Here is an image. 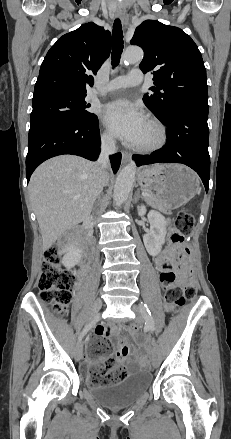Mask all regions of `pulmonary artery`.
I'll return each instance as SVG.
<instances>
[{
    "label": "pulmonary artery",
    "mask_w": 231,
    "mask_h": 439,
    "mask_svg": "<svg viewBox=\"0 0 231 439\" xmlns=\"http://www.w3.org/2000/svg\"><path fill=\"white\" fill-rule=\"evenodd\" d=\"M143 74L140 70H132L126 75L118 76L113 79L106 87L105 92H111L122 88L133 87L142 83ZM99 91H94L92 95H99Z\"/></svg>",
    "instance_id": "1"
}]
</instances>
